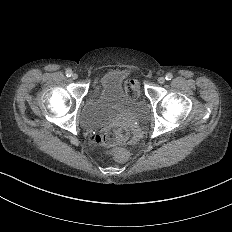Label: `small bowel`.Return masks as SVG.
<instances>
[{"mask_svg":"<svg viewBox=\"0 0 232 232\" xmlns=\"http://www.w3.org/2000/svg\"><path fill=\"white\" fill-rule=\"evenodd\" d=\"M102 86H103V81L101 77H96L93 79L92 87L94 89V95L89 103V112L91 114L95 113L97 109V104L102 97V92H101ZM110 86H111V96L116 99L119 95L118 82L116 80H112Z\"/></svg>","mask_w":232,"mask_h":232,"instance_id":"small-bowel-1","label":"small bowel"}]
</instances>
